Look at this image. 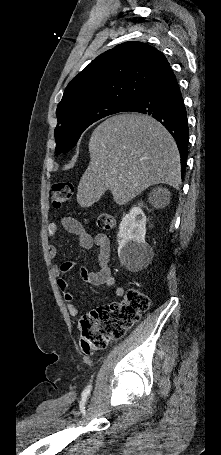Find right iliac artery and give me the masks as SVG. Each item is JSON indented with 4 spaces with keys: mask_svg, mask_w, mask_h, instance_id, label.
I'll list each match as a JSON object with an SVG mask.
<instances>
[{
    "mask_svg": "<svg viewBox=\"0 0 221 455\" xmlns=\"http://www.w3.org/2000/svg\"><path fill=\"white\" fill-rule=\"evenodd\" d=\"M90 387H91V386H88V387H87V389L85 390L86 393H89V392H90Z\"/></svg>",
    "mask_w": 221,
    "mask_h": 455,
    "instance_id": "obj_1",
    "label": "right iliac artery"
}]
</instances>
